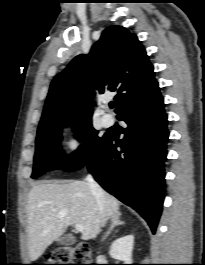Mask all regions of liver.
I'll use <instances>...</instances> for the list:
<instances>
[{
    "label": "liver",
    "mask_w": 205,
    "mask_h": 265,
    "mask_svg": "<svg viewBox=\"0 0 205 265\" xmlns=\"http://www.w3.org/2000/svg\"><path fill=\"white\" fill-rule=\"evenodd\" d=\"M103 194L104 213L100 214L86 181L56 180L34 185L26 207L30 260H37L68 226L81 224V239H93L110 217L120 214L118 200L106 192Z\"/></svg>",
    "instance_id": "1"
}]
</instances>
